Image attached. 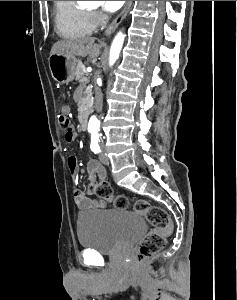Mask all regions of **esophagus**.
Masks as SVG:
<instances>
[{
  "instance_id": "obj_1",
  "label": "esophagus",
  "mask_w": 237,
  "mask_h": 300,
  "mask_svg": "<svg viewBox=\"0 0 237 300\" xmlns=\"http://www.w3.org/2000/svg\"><path fill=\"white\" fill-rule=\"evenodd\" d=\"M132 1H126L125 6L121 13L117 16V18L108 26L106 31L104 32L105 36H109L111 33H113L119 26V24L123 21V19L126 17L129 8L131 6Z\"/></svg>"
}]
</instances>
